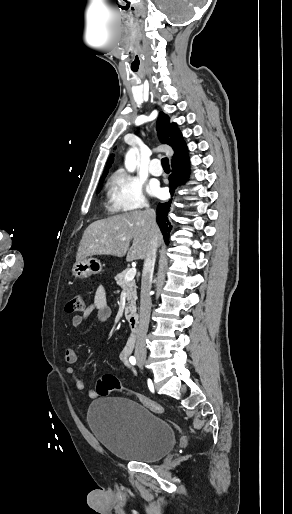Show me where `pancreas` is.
<instances>
[{"mask_svg": "<svg viewBox=\"0 0 292 514\" xmlns=\"http://www.w3.org/2000/svg\"><path fill=\"white\" fill-rule=\"evenodd\" d=\"M127 272L128 270H123L121 274H117V276H115V280L116 284H118V286H121L122 290H125L126 292L128 306L127 308H125V316H131V314H134V312H136L137 286L135 284V280H130V282H127V280H125Z\"/></svg>", "mask_w": 292, "mask_h": 514, "instance_id": "cf45deb5", "label": "pancreas"}]
</instances>
